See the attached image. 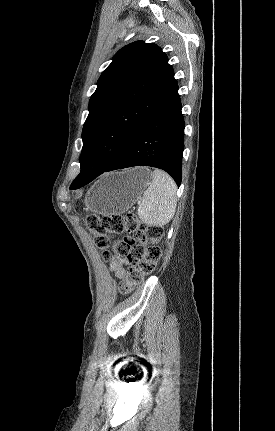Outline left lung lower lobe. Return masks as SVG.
Segmentation results:
<instances>
[{
  "label": "left lung lower lobe",
  "instance_id": "1",
  "mask_svg": "<svg viewBox=\"0 0 275 431\" xmlns=\"http://www.w3.org/2000/svg\"><path fill=\"white\" fill-rule=\"evenodd\" d=\"M178 84L128 143L116 160L96 174L80 173L70 186L78 189L104 172L132 166H152L166 171L181 184L184 149V118Z\"/></svg>",
  "mask_w": 275,
  "mask_h": 431
}]
</instances>
